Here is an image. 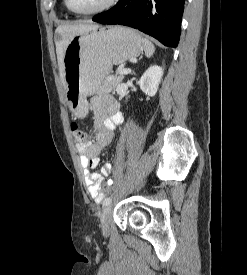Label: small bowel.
<instances>
[{
    "label": "small bowel",
    "mask_w": 247,
    "mask_h": 275,
    "mask_svg": "<svg viewBox=\"0 0 247 275\" xmlns=\"http://www.w3.org/2000/svg\"><path fill=\"white\" fill-rule=\"evenodd\" d=\"M94 114V127L97 130L95 141L83 142L77 145L80 162L84 170V180L89 195L100 202L105 193L101 190V183L105 176L112 171V164H104L99 172H93L98 167L101 151L112 141L116 127L123 123V116L118 110V103L109 96H95L91 100Z\"/></svg>",
    "instance_id": "1"
}]
</instances>
